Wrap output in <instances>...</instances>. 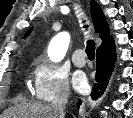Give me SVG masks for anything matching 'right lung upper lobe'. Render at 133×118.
Segmentation results:
<instances>
[{
    "label": "right lung upper lobe",
    "instance_id": "cb5924a9",
    "mask_svg": "<svg viewBox=\"0 0 133 118\" xmlns=\"http://www.w3.org/2000/svg\"><path fill=\"white\" fill-rule=\"evenodd\" d=\"M90 11L92 16V21L94 25L95 32H100V37L102 39V44L99 46H103L109 43L113 38L109 35L108 25L106 23L103 12L96 1H91ZM32 28L26 33V36L31 32Z\"/></svg>",
    "mask_w": 133,
    "mask_h": 118
}]
</instances>
